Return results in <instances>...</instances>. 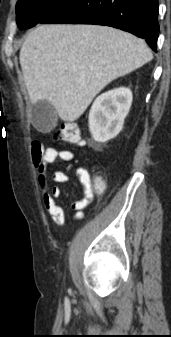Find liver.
<instances>
[{
  "instance_id": "liver-1",
  "label": "liver",
  "mask_w": 171,
  "mask_h": 337,
  "mask_svg": "<svg viewBox=\"0 0 171 337\" xmlns=\"http://www.w3.org/2000/svg\"><path fill=\"white\" fill-rule=\"evenodd\" d=\"M32 103L46 100L61 120H77L111 81L153 58L144 40L107 26L40 25L20 49Z\"/></svg>"
}]
</instances>
